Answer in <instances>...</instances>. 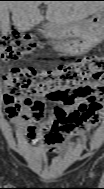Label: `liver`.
<instances>
[{"instance_id": "1", "label": "liver", "mask_w": 104, "mask_h": 189, "mask_svg": "<svg viewBox=\"0 0 104 189\" xmlns=\"http://www.w3.org/2000/svg\"><path fill=\"white\" fill-rule=\"evenodd\" d=\"M46 19L53 25L60 28L71 29L76 23L84 20L103 9L100 1H47ZM39 1H3L1 9V30L8 31V10L12 12V20L19 32L30 31L38 25L44 17L38 8Z\"/></svg>"}]
</instances>
